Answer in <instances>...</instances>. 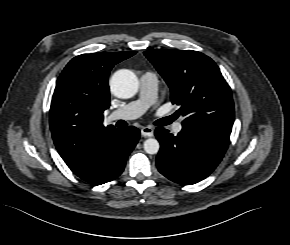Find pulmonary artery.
<instances>
[{"label": "pulmonary artery", "mask_w": 290, "mask_h": 245, "mask_svg": "<svg viewBox=\"0 0 290 245\" xmlns=\"http://www.w3.org/2000/svg\"><path fill=\"white\" fill-rule=\"evenodd\" d=\"M158 89V78L154 72H144L139 78V96L136 100L125 104L122 108L109 114L110 121L138 118L155 102ZM182 130L180 123L176 124L173 132L178 134Z\"/></svg>", "instance_id": "obj_1"}]
</instances>
